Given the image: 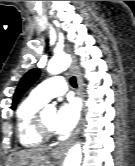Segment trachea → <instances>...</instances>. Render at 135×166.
I'll use <instances>...</instances> for the list:
<instances>
[{
	"mask_svg": "<svg viewBox=\"0 0 135 166\" xmlns=\"http://www.w3.org/2000/svg\"><path fill=\"white\" fill-rule=\"evenodd\" d=\"M70 84L75 88L77 87V82L75 77L70 78Z\"/></svg>",
	"mask_w": 135,
	"mask_h": 166,
	"instance_id": "trachea-1",
	"label": "trachea"
}]
</instances>
